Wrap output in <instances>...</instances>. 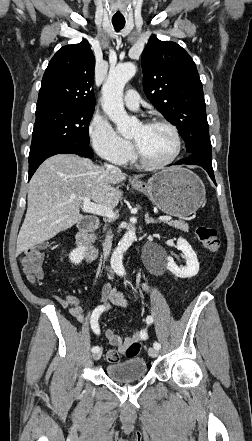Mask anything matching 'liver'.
Masks as SVG:
<instances>
[{"label":"liver","instance_id":"obj_1","mask_svg":"<svg viewBox=\"0 0 252 441\" xmlns=\"http://www.w3.org/2000/svg\"><path fill=\"white\" fill-rule=\"evenodd\" d=\"M126 177L121 171H108L73 154L48 158L30 180L28 207L17 237L16 254L80 222V198L89 197L98 205L114 208L121 199L119 186L115 185Z\"/></svg>","mask_w":252,"mask_h":441}]
</instances>
